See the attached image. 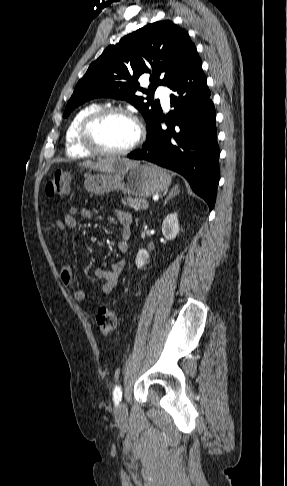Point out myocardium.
Wrapping results in <instances>:
<instances>
[{
    "label": "myocardium",
    "mask_w": 287,
    "mask_h": 486,
    "mask_svg": "<svg viewBox=\"0 0 287 486\" xmlns=\"http://www.w3.org/2000/svg\"><path fill=\"white\" fill-rule=\"evenodd\" d=\"M111 115H122L128 118L133 123L136 129V134L133 141L126 147L115 151H108L100 148L95 144L92 137L94 127L100 121ZM78 137L80 145L91 155L113 158L125 156L132 152L143 139V128L139 119L131 111L120 106H110L100 108L89 114L80 125Z\"/></svg>",
    "instance_id": "obj_1"
}]
</instances>
